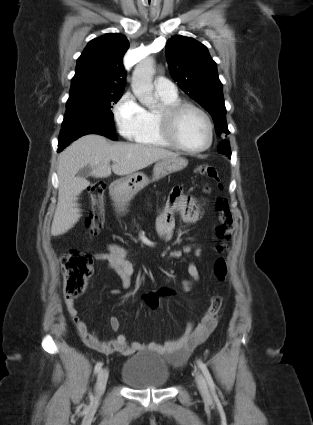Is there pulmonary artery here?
<instances>
[{
  "instance_id": "e3ab8cb5",
  "label": "pulmonary artery",
  "mask_w": 313,
  "mask_h": 425,
  "mask_svg": "<svg viewBox=\"0 0 313 425\" xmlns=\"http://www.w3.org/2000/svg\"><path fill=\"white\" fill-rule=\"evenodd\" d=\"M155 90L158 94L166 97L177 96V89L172 81L164 77H158L154 82Z\"/></svg>"
}]
</instances>
